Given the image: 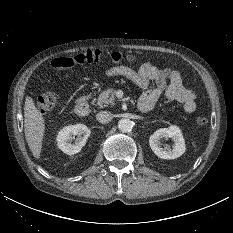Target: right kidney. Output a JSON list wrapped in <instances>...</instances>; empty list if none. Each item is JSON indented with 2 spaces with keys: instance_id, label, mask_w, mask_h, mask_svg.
Listing matches in <instances>:
<instances>
[{
  "instance_id": "right-kidney-1",
  "label": "right kidney",
  "mask_w": 233,
  "mask_h": 233,
  "mask_svg": "<svg viewBox=\"0 0 233 233\" xmlns=\"http://www.w3.org/2000/svg\"><path fill=\"white\" fill-rule=\"evenodd\" d=\"M90 133V129L83 124L66 126L57 135L58 148L68 155L76 154L86 144Z\"/></svg>"
}]
</instances>
